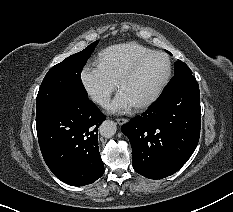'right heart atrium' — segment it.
<instances>
[{
	"mask_svg": "<svg viewBox=\"0 0 233 212\" xmlns=\"http://www.w3.org/2000/svg\"><path fill=\"white\" fill-rule=\"evenodd\" d=\"M80 81L88 97L100 106L107 104L117 86L98 64L85 65L80 73Z\"/></svg>",
	"mask_w": 233,
	"mask_h": 212,
	"instance_id": "d8ad5b80",
	"label": "right heart atrium"
}]
</instances>
